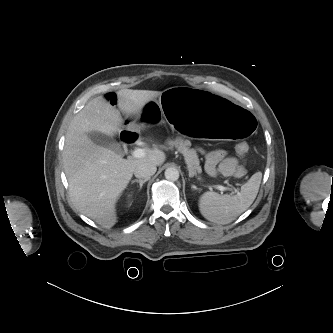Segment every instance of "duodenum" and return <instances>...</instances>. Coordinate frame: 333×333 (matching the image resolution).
<instances>
[{
	"mask_svg": "<svg viewBox=\"0 0 333 333\" xmlns=\"http://www.w3.org/2000/svg\"><path fill=\"white\" fill-rule=\"evenodd\" d=\"M123 141L127 142V143H133L135 141V135L131 132H123L121 135Z\"/></svg>",
	"mask_w": 333,
	"mask_h": 333,
	"instance_id": "duodenum-1",
	"label": "duodenum"
}]
</instances>
